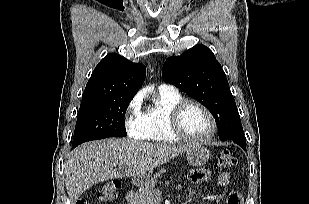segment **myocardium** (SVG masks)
I'll return each mask as SVG.
<instances>
[{"instance_id": "myocardium-1", "label": "myocardium", "mask_w": 309, "mask_h": 204, "mask_svg": "<svg viewBox=\"0 0 309 204\" xmlns=\"http://www.w3.org/2000/svg\"><path fill=\"white\" fill-rule=\"evenodd\" d=\"M190 105L199 107L208 117L211 125L210 133L204 138H195L189 135L182 127L181 115L184 109ZM168 124L171 132L179 139L189 143L205 144L213 139L216 134L217 125L215 118L211 111L201 102L193 99H183L178 102L169 112Z\"/></svg>"}]
</instances>
